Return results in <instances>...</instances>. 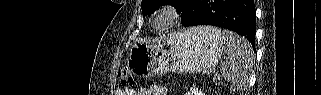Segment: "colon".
<instances>
[{
  "mask_svg": "<svg viewBox=\"0 0 321 95\" xmlns=\"http://www.w3.org/2000/svg\"><path fill=\"white\" fill-rule=\"evenodd\" d=\"M118 76L123 85H129L133 82L132 74L127 68H121L118 72Z\"/></svg>",
  "mask_w": 321,
  "mask_h": 95,
  "instance_id": "5ec220e1",
  "label": "colon"
}]
</instances>
